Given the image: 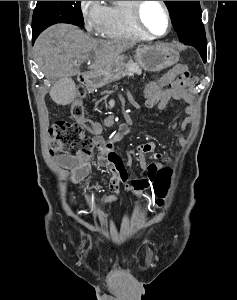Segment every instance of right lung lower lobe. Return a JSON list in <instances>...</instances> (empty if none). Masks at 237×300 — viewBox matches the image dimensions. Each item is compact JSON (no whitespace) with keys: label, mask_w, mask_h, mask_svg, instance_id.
<instances>
[{"label":"right lung lower lobe","mask_w":237,"mask_h":300,"mask_svg":"<svg viewBox=\"0 0 237 300\" xmlns=\"http://www.w3.org/2000/svg\"><path fill=\"white\" fill-rule=\"evenodd\" d=\"M36 38H37V37H36ZM36 38L32 36L33 41H34Z\"/></svg>","instance_id":"98d812e1"}]
</instances>
